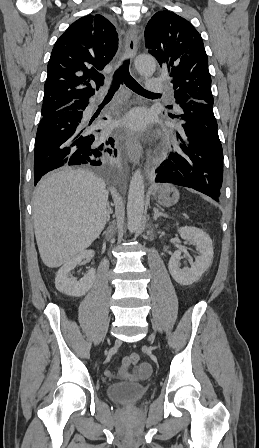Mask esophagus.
<instances>
[{
  "label": "esophagus",
  "mask_w": 259,
  "mask_h": 448,
  "mask_svg": "<svg viewBox=\"0 0 259 448\" xmlns=\"http://www.w3.org/2000/svg\"><path fill=\"white\" fill-rule=\"evenodd\" d=\"M138 49V34L135 26H131L128 30L125 40V54L128 57H135ZM127 154L133 164L139 162L142 155V146L139 141L130 133L126 134Z\"/></svg>",
  "instance_id": "34e87169"
}]
</instances>
